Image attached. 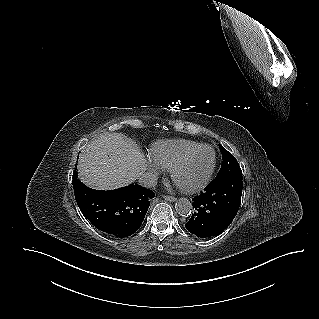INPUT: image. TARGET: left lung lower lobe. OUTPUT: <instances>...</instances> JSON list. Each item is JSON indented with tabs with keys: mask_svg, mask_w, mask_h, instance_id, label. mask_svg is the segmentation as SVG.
<instances>
[{
	"mask_svg": "<svg viewBox=\"0 0 319 319\" xmlns=\"http://www.w3.org/2000/svg\"><path fill=\"white\" fill-rule=\"evenodd\" d=\"M242 175H230L210 182L204 192L193 198L194 213L185 224L198 237L208 238L222 233L236 216L242 195Z\"/></svg>",
	"mask_w": 319,
	"mask_h": 319,
	"instance_id": "left-lung-lower-lobe-1",
	"label": "left lung lower lobe"
}]
</instances>
